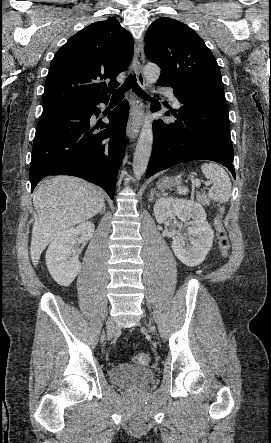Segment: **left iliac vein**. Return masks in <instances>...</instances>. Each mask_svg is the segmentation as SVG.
Segmentation results:
<instances>
[{
    "instance_id": "4c4485c4",
    "label": "left iliac vein",
    "mask_w": 271,
    "mask_h": 443,
    "mask_svg": "<svg viewBox=\"0 0 271 443\" xmlns=\"http://www.w3.org/2000/svg\"><path fill=\"white\" fill-rule=\"evenodd\" d=\"M147 326H148L150 332H152L153 331L152 327L150 325H148V324H147Z\"/></svg>"
}]
</instances>
